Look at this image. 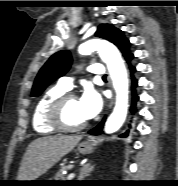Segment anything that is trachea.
Returning <instances> with one entry per match:
<instances>
[{
  "mask_svg": "<svg viewBox=\"0 0 178 186\" xmlns=\"http://www.w3.org/2000/svg\"><path fill=\"white\" fill-rule=\"evenodd\" d=\"M103 79H106V75L103 76Z\"/></svg>",
  "mask_w": 178,
  "mask_h": 186,
  "instance_id": "1",
  "label": "trachea"
}]
</instances>
